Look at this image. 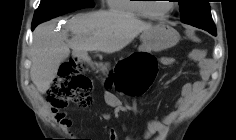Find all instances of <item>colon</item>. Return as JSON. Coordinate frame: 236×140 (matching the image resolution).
Masks as SVG:
<instances>
[{"label":"colon","instance_id":"1","mask_svg":"<svg viewBox=\"0 0 236 140\" xmlns=\"http://www.w3.org/2000/svg\"><path fill=\"white\" fill-rule=\"evenodd\" d=\"M157 73V63L150 56L137 55L123 59L113 76L117 87L129 96H140L150 87ZM91 81L82 73L81 63L70 58L60 67L47 92L52 110L58 111L69 103L89 107L92 103Z\"/></svg>","mask_w":236,"mask_h":140}]
</instances>
